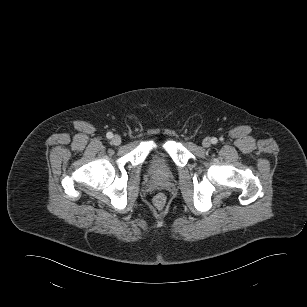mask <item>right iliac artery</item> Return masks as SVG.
<instances>
[{
    "label": "right iliac artery",
    "instance_id": "right-iliac-artery-1",
    "mask_svg": "<svg viewBox=\"0 0 307 307\" xmlns=\"http://www.w3.org/2000/svg\"><path fill=\"white\" fill-rule=\"evenodd\" d=\"M106 137H107L108 139H111V138L113 137L112 132H108V133L106 134Z\"/></svg>",
    "mask_w": 307,
    "mask_h": 307
}]
</instances>
